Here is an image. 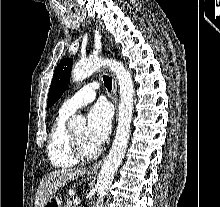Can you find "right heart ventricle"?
Instances as JSON below:
<instances>
[{
  "label": "right heart ventricle",
  "mask_w": 220,
  "mask_h": 207,
  "mask_svg": "<svg viewBox=\"0 0 220 207\" xmlns=\"http://www.w3.org/2000/svg\"><path fill=\"white\" fill-rule=\"evenodd\" d=\"M70 114L59 112L55 119L47 143V154L55 168H70L79 161L75 159L69 148V130L66 121Z\"/></svg>",
  "instance_id": "1"
}]
</instances>
